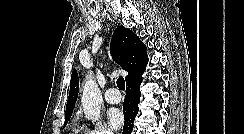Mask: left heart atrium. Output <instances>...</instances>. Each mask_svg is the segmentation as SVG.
Instances as JSON below:
<instances>
[{
  "label": "left heart atrium",
  "instance_id": "obj_1",
  "mask_svg": "<svg viewBox=\"0 0 244 134\" xmlns=\"http://www.w3.org/2000/svg\"><path fill=\"white\" fill-rule=\"evenodd\" d=\"M108 121L114 129H118L124 122V117L121 111L118 109H111L108 112Z\"/></svg>",
  "mask_w": 244,
  "mask_h": 134
}]
</instances>
